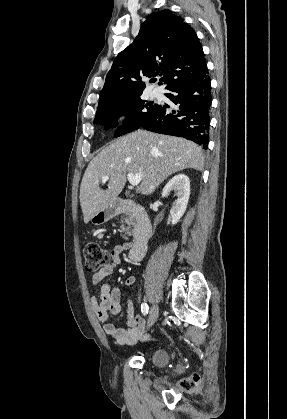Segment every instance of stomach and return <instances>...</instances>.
<instances>
[{
	"mask_svg": "<svg viewBox=\"0 0 287 419\" xmlns=\"http://www.w3.org/2000/svg\"><path fill=\"white\" fill-rule=\"evenodd\" d=\"M114 215H115L114 206L112 204H108L104 209H102L101 211L96 213L91 218L90 221H91L92 224L99 225V224H102L104 222H107L108 220L113 218Z\"/></svg>",
	"mask_w": 287,
	"mask_h": 419,
	"instance_id": "1",
	"label": "stomach"
}]
</instances>
